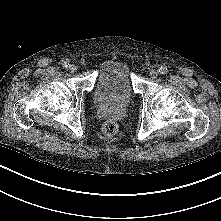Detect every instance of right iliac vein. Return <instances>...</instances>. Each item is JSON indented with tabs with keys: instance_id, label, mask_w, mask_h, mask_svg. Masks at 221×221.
Masks as SVG:
<instances>
[{
	"instance_id": "obj_1",
	"label": "right iliac vein",
	"mask_w": 221,
	"mask_h": 221,
	"mask_svg": "<svg viewBox=\"0 0 221 221\" xmlns=\"http://www.w3.org/2000/svg\"><path fill=\"white\" fill-rule=\"evenodd\" d=\"M68 69L70 72L74 73L77 71V66L74 64H71Z\"/></svg>"
}]
</instances>
